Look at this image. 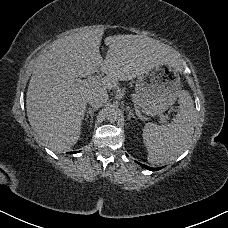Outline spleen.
<instances>
[{
	"instance_id": "1",
	"label": "spleen",
	"mask_w": 228,
	"mask_h": 228,
	"mask_svg": "<svg viewBox=\"0 0 228 228\" xmlns=\"http://www.w3.org/2000/svg\"><path fill=\"white\" fill-rule=\"evenodd\" d=\"M179 110L168 125L147 122L142 129V141L150 164L159 165L176 160L186 150L195 127V109L191 95L182 90Z\"/></svg>"
}]
</instances>
